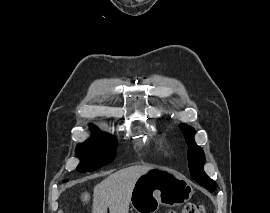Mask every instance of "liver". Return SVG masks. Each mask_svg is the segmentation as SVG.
Returning a JSON list of instances; mask_svg holds the SVG:
<instances>
[{
    "mask_svg": "<svg viewBox=\"0 0 270 213\" xmlns=\"http://www.w3.org/2000/svg\"><path fill=\"white\" fill-rule=\"evenodd\" d=\"M149 165L131 166L119 170L94 187L92 213H128L132 189L137 179L149 170ZM83 202H88L90 194L81 196Z\"/></svg>",
    "mask_w": 270,
    "mask_h": 213,
    "instance_id": "1",
    "label": "liver"
}]
</instances>
